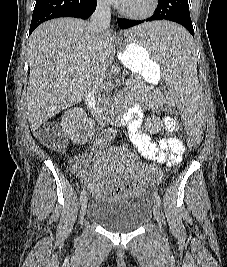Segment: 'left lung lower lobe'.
<instances>
[{
	"instance_id": "obj_1",
	"label": "left lung lower lobe",
	"mask_w": 227,
	"mask_h": 267,
	"mask_svg": "<svg viewBox=\"0 0 227 267\" xmlns=\"http://www.w3.org/2000/svg\"><path fill=\"white\" fill-rule=\"evenodd\" d=\"M156 20H169L183 25L194 37V29L189 13L188 0H159L158 7L155 13L145 20H127L118 19V25L122 29H127L143 22H151ZM171 45L174 49L186 50L192 46V40H182L178 38H171Z\"/></svg>"
}]
</instances>
